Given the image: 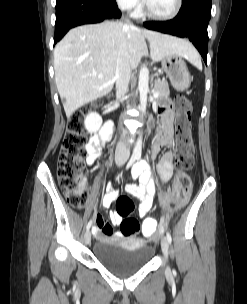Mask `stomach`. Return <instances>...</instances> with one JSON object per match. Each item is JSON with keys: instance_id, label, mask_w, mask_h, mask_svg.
<instances>
[{"instance_id": "stomach-1", "label": "stomach", "mask_w": 247, "mask_h": 304, "mask_svg": "<svg viewBox=\"0 0 247 304\" xmlns=\"http://www.w3.org/2000/svg\"><path fill=\"white\" fill-rule=\"evenodd\" d=\"M162 68L176 90L184 91L191 85L190 73L180 56L169 55L165 57L162 60Z\"/></svg>"}]
</instances>
